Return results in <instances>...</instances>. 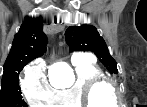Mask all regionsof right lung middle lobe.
Instances as JSON below:
<instances>
[{"mask_svg": "<svg viewBox=\"0 0 147 107\" xmlns=\"http://www.w3.org/2000/svg\"><path fill=\"white\" fill-rule=\"evenodd\" d=\"M33 59L22 63L20 71L23 67ZM19 73H10L2 77L1 91H0V107H27L22 100L21 89L19 86Z\"/></svg>", "mask_w": 147, "mask_h": 107, "instance_id": "1", "label": "right lung middle lobe"}]
</instances>
